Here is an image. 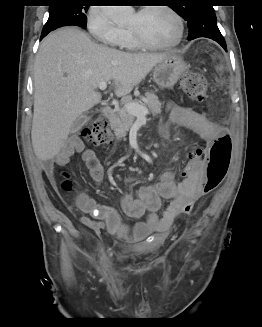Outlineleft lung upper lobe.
<instances>
[{"label":"left lung upper lobe","instance_id":"1","mask_svg":"<svg viewBox=\"0 0 262 327\" xmlns=\"http://www.w3.org/2000/svg\"><path fill=\"white\" fill-rule=\"evenodd\" d=\"M193 3L195 4L187 6L172 5L173 10L188 22L189 32L217 27L213 6L207 4V0H197Z\"/></svg>","mask_w":262,"mask_h":327}]
</instances>
